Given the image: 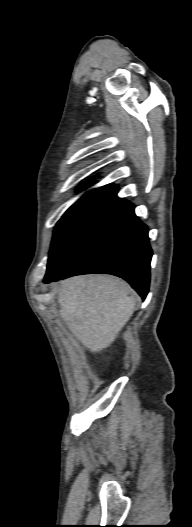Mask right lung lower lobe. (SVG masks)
I'll use <instances>...</instances> for the list:
<instances>
[{"label":"right lung lower lobe","instance_id":"1","mask_svg":"<svg viewBox=\"0 0 192 527\" xmlns=\"http://www.w3.org/2000/svg\"><path fill=\"white\" fill-rule=\"evenodd\" d=\"M117 191L115 185L104 186L66 229L50 251L44 283L106 273L125 279L145 299L152 257L148 228Z\"/></svg>","mask_w":192,"mask_h":527}]
</instances>
